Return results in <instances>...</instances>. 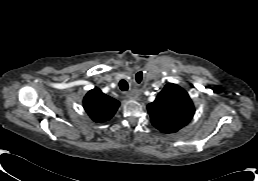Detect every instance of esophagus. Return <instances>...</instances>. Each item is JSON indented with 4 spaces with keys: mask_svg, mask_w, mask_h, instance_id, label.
Listing matches in <instances>:
<instances>
[{
    "mask_svg": "<svg viewBox=\"0 0 258 181\" xmlns=\"http://www.w3.org/2000/svg\"><path fill=\"white\" fill-rule=\"evenodd\" d=\"M127 96L130 97V98H136L137 94L135 92L131 91V92L127 93Z\"/></svg>",
    "mask_w": 258,
    "mask_h": 181,
    "instance_id": "obj_1",
    "label": "esophagus"
}]
</instances>
